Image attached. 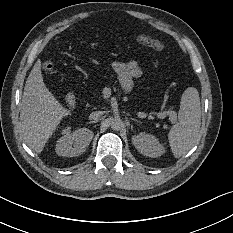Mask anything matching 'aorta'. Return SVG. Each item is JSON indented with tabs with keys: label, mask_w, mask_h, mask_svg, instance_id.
<instances>
[{
	"label": "aorta",
	"mask_w": 233,
	"mask_h": 233,
	"mask_svg": "<svg viewBox=\"0 0 233 233\" xmlns=\"http://www.w3.org/2000/svg\"><path fill=\"white\" fill-rule=\"evenodd\" d=\"M111 127H112L113 129H117V127H120V123H119L118 121H116V120H113V121L111 122Z\"/></svg>",
	"instance_id": "aorta-1"
}]
</instances>
